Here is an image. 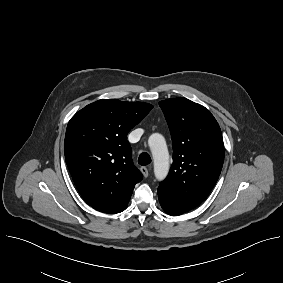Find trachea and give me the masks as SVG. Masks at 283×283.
<instances>
[{"mask_svg":"<svg viewBox=\"0 0 283 283\" xmlns=\"http://www.w3.org/2000/svg\"><path fill=\"white\" fill-rule=\"evenodd\" d=\"M138 163L140 165H148L149 163H151V158L147 153H142L138 158Z\"/></svg>","mask_w":283,"mask_h":283,"instance_id":"1","label":"trachea"}]
</instances>
